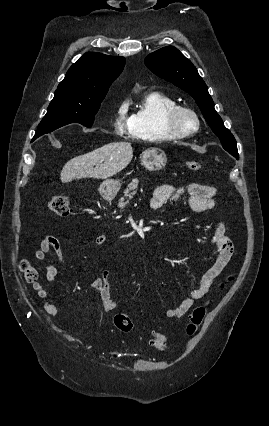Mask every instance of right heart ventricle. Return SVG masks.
Masks as SVG:
<instances>
[{
  "instance_id": "obj_1",
  "label": "right heart ventricle",
  "mask_w": 269,
  "mask_h": 426,
  "mask_svg": "<svg viewBox=\"0 0 269 426\" xmlns=\"http://www.w3.org/2000/svg\"><path fill=\"white\" fill-rule=\"evenodd\" d=\"M176 105L173 98L161 92L146 93L132 114L133 136L151 143L176 139L164 124L166 111Z\"/></svg>"
}]
</instances>
